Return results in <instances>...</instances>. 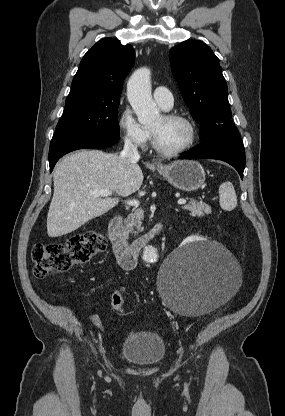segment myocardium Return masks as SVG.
<instances>
[{"label":"myocardium","instance_id":"obj_1","mask_svg":"<svg viewBox=\"0 0 285 416\" xmlns=\"http://www.w3.org/2000/svg\"><path fill=\"white\" fill-rule=\"evenodd\" d=\"M164 118L169 120H178L186 124L189 130V139L188 142L181 148L176 150H166L161 148L155 138L153 131L151 130L152 135V145L154 150L161 156L164 157H177L188 152L195 144L197 131L194 122L186 115L176 112H166L163 114Z\"/></svg>","mask_w":285,"mask_h":416}]
</instances>
